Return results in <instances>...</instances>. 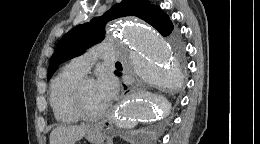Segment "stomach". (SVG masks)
Returning a JSON list of instances; mask_svg holds the SVG:
<instances>
[{
  "instance_id": "1",
  "label": "stomach",
  "mask_w": 260,
  "mask_h": 144,
  "mask_svg": "<svg viewBox=\"0 0 260 144\" xmlns=\"http://www.w3.org/2000/svg\"><path fill=\"white\" fill-rule=\"evenodd\" d=\"M86 139L90 144H103L105 136L101 129L98 127H92L86 132Z\"/></svg>"
}]
</instances>
